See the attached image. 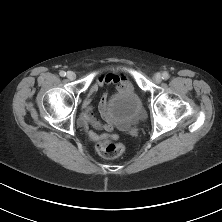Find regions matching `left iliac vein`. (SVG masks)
<instances>
[{
    "label": "left iliac vein",
    "instance_id": "left-iliac-vein-1",
    "mask_svg": "<svg viewBox=\"0 0 222 222\" xmlns=\"http://www.w3.org/2000/svg\"><path fill=\"white\" fill-rule=\"evenodd\" d=\"M154 80H155L157 83L161 82V81H162V76H161V74H160V73H156V74L154 75Z\"/></svg>",
    "mask_w": 222,
    "mask_h": 222
}]
</instances>
